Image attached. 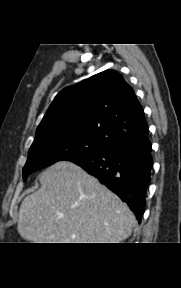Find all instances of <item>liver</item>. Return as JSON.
Wrapping results in <instances>:
<instances>
[{
  "label": "liver",
  "mask_w": 181,
  "mask_h": 288,
  "mask_svg": "<svg viewBox=\"0 0 181 288\" xmlns=\"http://www.w3.org/2000/svg\"><path fill=\"white\" fill-rule=\"evenodd\" d=\"M39 180L40 189L19 210L17 229L25 240L120 243L131 235L136 219L129 207L78 165L57 162Z\"/></svg>",
  "instance_id": "6515ba94"
}]
</instances>
